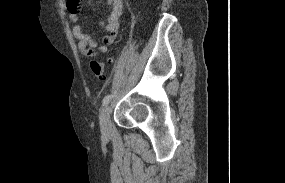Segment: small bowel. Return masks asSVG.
I'll use <instances>...</instances> for the list:
<instances>
[{
  "label": "small bowel",
  "mask_w": 285,
  "mask_h": 183,
  "mask_svg": "<svg viewBox=\"0 0 285 183\" xmlns=\"http://www.w3.org/2000/svg\"><path fill=\"white\" fill-rule=\"evenodd\" d=\"M108 2L110 4L109 15L101 23L107 32L103 38L102 44H98L92 35L85 33L83 26L78 23L80 0H75L72 3V5L76 7V11L69 10L68 3L66 4L69 12L68 18L75 23L72 28V34L78 41V49L88 58H93L98 54L106 53L108 46L112 45L117 38L120 28V19L123 12V0H108Z\"/></svg>",
  "instance_id": "small-bowel-1"
}]
</instances>
